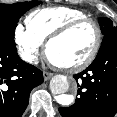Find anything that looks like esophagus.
Here are the masks:
<instances>
[{"label": "esophagus", "mask_w": 117, "mask_h": 117, "mask_svg": "<svg viewBox=\"0 0 117 117\" xmlns=\"http://www.w3.org/2000/svg\"><path fill=\"white\" fill-rule=\"evenodd\" d=\"M51 76H52V73L46 72V71L43 72V77L45 81H48L51 78Z\"/></svg>", "instance_id": "esophagus-1"}]
</instances>
